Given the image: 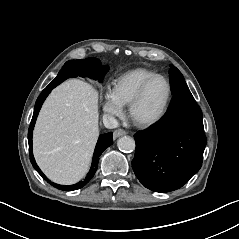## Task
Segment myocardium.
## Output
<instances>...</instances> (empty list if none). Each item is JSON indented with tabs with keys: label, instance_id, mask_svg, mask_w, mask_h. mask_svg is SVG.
I'll return each mask as SVG.
<instances>
[{
	"label": "myocardium",
	"instance_id": "myocardium-1",
	"mask_svg": "<svg viewBox=\"0 0 239 239\" xmlns=\"http://www.w3.org/2000/svg\"><path fill=\"white\" fill-rule=\"evenodd\" d=\"M157 79L165 80L166 83H167V86H168V96H167L165 105H164L162 111L155 118L150 119V120L141 119L135 113L136 108H137L139 102L141 101L143 95L145 94L146 90L148 89V87ZM172 97H173V87H172V83L169 80V78L166 77L165 75H162V74H156V75L148 78L140 86L138 91L135 93V95L131 99V101L128 105L129 116H130L131 120L133 121V123L136 124L139 127L148 128V127L155 126L158 123H160L165 118V116L167 115L168 110H169L170 105H171Z\"/></svg>",
	"mask_w": 239,
	"mask_h": 239
}]
</instances>
